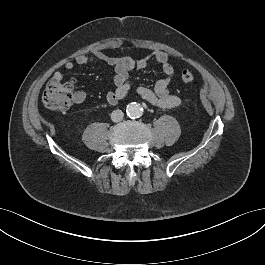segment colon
Here are the masks:
<instances>
[{
  "instance_id": "1",
  "label": "colon",
  "mask_w": 265,
  "mask_h": 265,
  "mask_svg": "<svg viewBox=\"0 0 265 265\" xmlns=\"http://www.w3.org/2000/svg\"><path fill=\"white\" fill-rule=\"evenodd\" d=\"M181 79L187 84L196 82L194 74L187 70L182 72ZM74 97L75 93L71 82L52 77L44 89L42 102L50 111L64 112L74 103Z\"/></svg>"
}]
</instances>
